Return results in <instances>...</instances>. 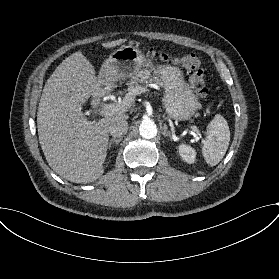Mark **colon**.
I'll return each instance as SVG.
<instances>
[{"instance_id":"1","label":"colon","mask_w":279,"mask_h":279,"mask_svg":"<svg viewBox=\"0 0 279 279\" xmlns=\"http://www.w3.org/2000/svg\"><path fill=\"white\" fill-rule=\"evenodd\" d=\"M145 54L162 61L173 62L189 72V81L193 91L201 98L208 94L206 75L199 57L194 53H171L169 50L148 48Z\"/></svg>"}]
</instances>
